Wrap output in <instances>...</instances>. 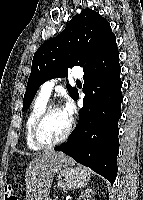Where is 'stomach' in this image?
<instances>
[{"instance_id":"0dacf381","label":"stomach","mask_w":143,"mask_h":200,"mask_svg":"<svg viewBox=\"0 0 143 200\" xmlns=\"http://www.w3.org/2000/svg\"><path fill=\"white\" fill-rule=\"evenodd\" d=\"M58 186L63 190L78 189L87 185L90 179L89 171L84 167L66 165L59 170Z\"/></svg>"}]
</instances>
